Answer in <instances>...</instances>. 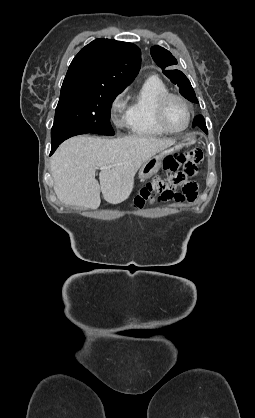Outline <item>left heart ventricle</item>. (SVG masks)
Masks as SVG:
<instances>
[{
  "label": "left heart ventricle",
  "instance_id": "left-heart-ventricle-1",
  "mask_svg": "<svg viewBox=\"0 0 255 418\" xmlns=\"http://www.w3.org/2000/svg\"><path fill=\"white\" fill-rule=\"evenodd\" d=\"M166 123L172 129H181L187 122V110L185 106L176 99H171L166 107Z\"/></svg>",
  "mask_w": 255,
  "mask_h": 418
}]
</instances>
